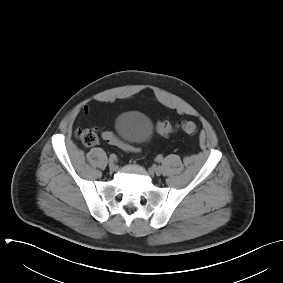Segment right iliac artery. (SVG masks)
<instances>
[{
  "instance_id": "82829eb1",
  "label": "right iliac artery",
  "mask_w": 283,
  "mask_h": 283,
  "mask_svg": "<svg viewBox=\"0 0 283 283\" xmlns=\"http://www.w3.org/2000/svg\"><path fill=\"white\" fill-rule=\"evenodd\" d=\"M109 159H110L111 161H115V160L117 159V157H116L115 154H111L110 157H109Z\"/></svg>"
}]
</instances>
